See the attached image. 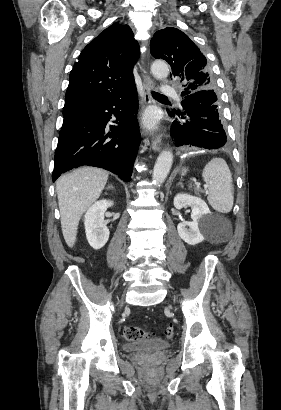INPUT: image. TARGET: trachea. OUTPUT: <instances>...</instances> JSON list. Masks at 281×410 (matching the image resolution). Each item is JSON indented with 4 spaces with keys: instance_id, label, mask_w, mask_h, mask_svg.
<instances>
[{
    "instance_id": "trachea-1",
    "label": "trachea",
    "mask_w": 281,
    "mask_h": 410,
    "mask_svg": "<svg viewBox=\"0 0 281 410\" xmlns=\"http://www.w3.org/2000/svg\"><path fill=\"white\" fill-rule=\"evenodd\" d=\"M152 95L154 98H167L165 95H162L160 93L157 92H152Z\"/></svg>"
}]
</instances>
